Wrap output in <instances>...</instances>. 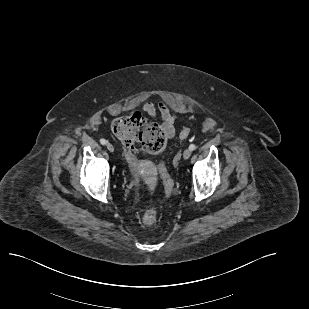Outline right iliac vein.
<instances>
[{
    "label": "right iliac vein",
    "mask_w": 309,
    "mask_h": 309,
    "mask_svg": "<svg viewBox=\"0 0 309 309\" xmlns=\"http://www.w3.org/2000/svg\"><path fill=\"white\" fill-rule=\"evenodd\" d=\"M106 147H107V149H108L110 152H113V151H114V147H113L112 144L108 143V144L106 145Z\"/></svg>",
    "instance_id": "right-iliac-vein-1"
}]
</instances>
